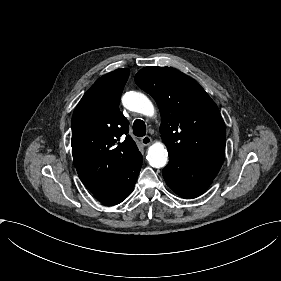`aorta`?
<instances>
[{
  "label": "aorta",
  "instance_id": "1",
  "mask_svg": "<svg viewBox=\"0 0 281 281\" xmlns=\"http://www.w3.org/2000/svg\"><path fill=\"white\" fill-rule=\"evenodd\" d=\"M122 104L130 111L152 116L154 114V106L149 98L136 91H130L122 97ZM149 164L154 168H162L167 164L168 152L162 142H155L148 148L146 156Z\"/></svg>",
  "mask_w": 281,
  "mask_h": 281
}]
</instances>
